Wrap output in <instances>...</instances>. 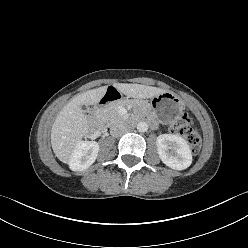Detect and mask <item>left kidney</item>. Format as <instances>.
Listing matches in <instances>:
<instances>
[{
    "mask_svg": "<svg viewBox=\"0 0 248 248\" xmlns=\"http://www.w3.org/2000/svg\"><path fill=\"white\" fill-rule=\"evenodd\" d=\"M157 151L161 161L175 170H184L192 163L188 143L180 136L162 134L156 139Z\"/></svg>",
    "mask_w": 248,
    "mask_h": 248,
    "instance_id": "5707ae66",
    "label": "left kidney"
}]
</instances>
